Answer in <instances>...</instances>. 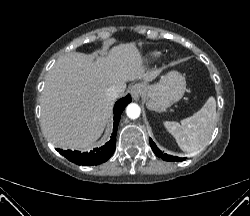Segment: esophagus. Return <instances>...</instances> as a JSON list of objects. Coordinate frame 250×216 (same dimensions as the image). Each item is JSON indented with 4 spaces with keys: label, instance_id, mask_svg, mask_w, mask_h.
Returning a JSON list of instances; mask_svg holds the SVG:
<instances>
[{
    "label": "esophagus",
    "instance_id": "esophagus-1",
    "mask_svg": "<svg viewBox=\"0 0 250 216\" xmlns=\"http://www.w3.org/2000/svg\"><path fill=\"white\" fill-rule=\"evenodd\" d=\"M130 93H131L134 100H138L140 98L141 94L143 93V86L139 83L134 84L130 88Z\"/></svg>",
    "mask_w": 250,
    "mask_h": 216
}]
</instances>
